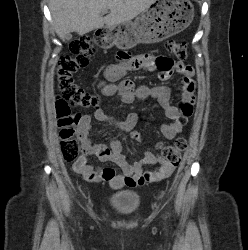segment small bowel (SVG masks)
<instances>
[{
  "label": "small bowel",
  "instance_id": "small-bowel-1",
  "mask_svg": "<svg viewBox=\"0 0 248 250\" xmlns=\"http://www.w3.org/2000/svg\"><path fill=\"white\" fill-rule=\"evenodd\" d=\"M131 70L157 72L163 80L168 79L174 71L180 73L182 84L181 104L178 107L170 104L171 89L168 86L136 85L131 80H122L124 73ZM192 77L193 68L191 65L181 62L174 64L165 57L153 54H140L130 59L125 58L121 63L109 65L104 71V80L99 83V89L103 96H117L124 104H131L136 99L152 98L157 100L163 109L164 115L171 120L170 123L161 125V133L166 139L171 140L175 138L187 122L189 114L186 113L185 109L192 108L194 104L195 84ZM93 117L97 121L109 124L119 131L131 133V137L136 141L140 139L133 136V130L138 121V116L135 113L127 114L123 120H116L107 114L104 107H98L95 109ZM91 129L92 115L85 114L80 118L77 127V135L84 153L86 155H96L101 161L115 163L121 168L122 173L117 174L112 168L95 170L86 162L81 165L74 164V171L86 181H107L112 188L120 189L124 186L134 187L149 181H158L172 174L174 168L159 154L148 151L142 160L131 164L123 155L122 143L117 138H111L108 144L92 143L90 139ZM146 164H159L160 167L157 172L162 171L163 175L157 177V172H144L143 165Z\"/></svg>",
  "mask_w": 248,
  "mask_h": 250
}]
</instances>
